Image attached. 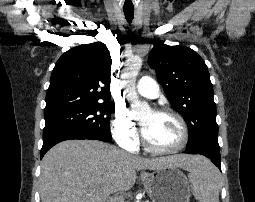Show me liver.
Here are the masks:
<instances>
[{"label": "liver", "mask_w": 255, "mask_h": 202, "mask_svg": "<svg viewBox=\"0 0 255 202\" xmlns=\"http://www.w3.org/2000/svg\"><path fill=\"white\" fill-rule=\"evenodd\" d=\"M200 159L185 154L143 158L100 141H63L42 159L41 202H105L110 194L128 191L137 170L179 167L190 171Z\"/></svg>", "instance_id": "obj_1"}]
</instances>
